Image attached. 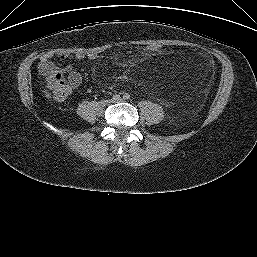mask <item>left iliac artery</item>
Instances as JSON below:
<instances>
[{"instance_id": "left-iliac-artery-1", "label": "left iliac artery", "mask_w": 257, "mask_h": 257, "mask_svg": "<svg viewBox=\"0 0 257 257\" xmlns=\"http://www.w3.org/2000/svg\"><path fill=\"white\" fill-rule=\"evenodd\" d=\"M123 98H124L125 100H128V99H130V95H129L128 93H125V94L123 95Z\"/></svg>"}]
</instances>
